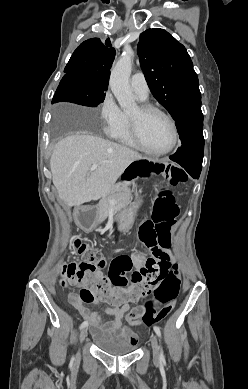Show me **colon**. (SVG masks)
<instances>
[{
    "label": "colon",
    "mask_w": 248,
    "mask_h": 389,
    "mask_svg": "<svg viewBox=\"0 0 248 389\" xmlns=\"http://www.w3.org/2000/svg\"><path fill=\"white\" fill-rule=\"evenodd\" d=\"M175 166L174 161H150L149 157H140L139 161H133L129 166L124 180L131 182L136 177L140 181V176H148L149 172H167L169 186H176L184 183L187 176ZM178 214L179 209L172 191L168 186H163L154 203L151 217L142 221L137 230L138 240L152 251V256L143 267L126 277L133 262L131 257L122 255L110 262L108 276L104 275L105 261L101 253L76 240L75 252L84 260L69 262L63 266L62 284L81 286L79 296L84 303L101 298L119 305L151 296L142 305L140 320L146 327L163 321L172 311L181 287L179 268L171 263L168 254L163 251L171 244L172 227ZM108 280L116 287L111 288ZM128 285L125 292L117 289ZM94 321L99 323V317L94 316Z\"/></svg>",
    "instance_id": "obj_1"
}]
</instances>
